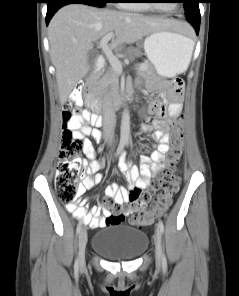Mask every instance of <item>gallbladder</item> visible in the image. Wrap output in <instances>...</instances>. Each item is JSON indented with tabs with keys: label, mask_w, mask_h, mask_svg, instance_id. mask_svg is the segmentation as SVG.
<instances>
[{
	"label": "gallbladder",
	"mask_w": 239,
	"mask_h": 296,
	"mask_svg": "<svg viewBox=\"0 0 239 296\" xmlns=\"http://www.w3.org/2000/svg\"><path fill=\"white\" fill-rule=\"evenodd\" d=\"M96 59H97V55L95 53H89L88 58H87V63H88V66H89V72L90 73L94 69Z\"/></svg>",
	"instance_id": "gallbladder-1"
}]
</instances>
